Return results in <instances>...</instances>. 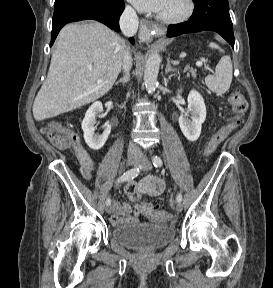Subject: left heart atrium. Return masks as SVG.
Wrapping results in <instances>:
<instances>
[{
    "instance_id": "obj_1",
    "label": "left heart atrium",
    "mask_w": 273,
    "mask_h": 288,
    "mask_svg": "<svg viewBox=\"0 0 273 288\" xmlns=\"http://www.w3.org/2000/svg\"><path fill=\"white\" fill-rule=\"evenodd\" d=\"M140 11L160 13L167 0H130Z\"/></svg>"
}]
</instances>
